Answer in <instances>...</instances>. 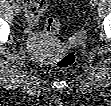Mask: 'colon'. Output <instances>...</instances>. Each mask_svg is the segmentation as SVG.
I'll use <instances>...</instances> for the list:
<instances>
[{
    "label": "colon",
    "mask_w": 111,
    "mask_h": 106,
    "mask_svg": "<svg viewBox=\"0 0 111 106\" xmlns=\"http://www.w3.org/2000/svg\"><path fill=\"white\" fill-rule=\"evenodd\" d=\"M61 23L55 18H49L44 24L43 32L47 35H53L60 31ZM75 55L71 51H63L56 58L55 65L59 68H67L74 64Z\"/></svg>",
    "instance_id": "obj_1"
}]
</instances>
